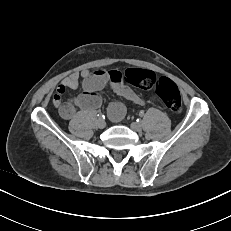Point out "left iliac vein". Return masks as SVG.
Listing matches in <instances>:
<instances>
[{
    "label": "left iliac vein",
    "instance_id": "1",
    "mask_svg": "<svg viewBox=\"0 0 231 231\" xmlns=\"http://www.w3.org/2000/svg\"><path fill=\"white\" fill-rule=\"evenodd\" d=\"M130 128L133 131L140 132L142 130V125L140 123H138V122H132L130 124Z\"/></svg>",
    "mask_w": 231,
    "mask_h": 231
}]
</instances>
